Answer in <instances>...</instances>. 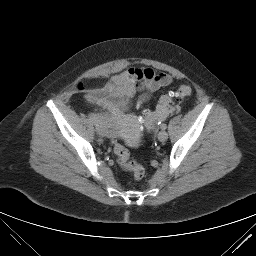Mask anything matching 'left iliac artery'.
<instances>
[{
	"label": "left iliac artery",
	"mask_w": 256,
	"mask_h": 256,
	"mask_svg": "<svg viewBox=\"0 0 256 256\" xmlns=\"http://www.w3.org/2000/svg\"><path fill=\"white\" fill-rule=\"evenodd\" d=\"M160 127H161V129H163V130H165V129L167 128L166 124H164V123H162V124L160 125Z\"/></svg>",
	"instance_id": "obj_1"
}]
</instances>
